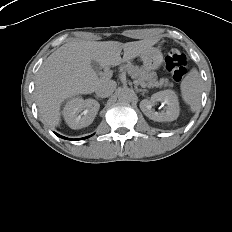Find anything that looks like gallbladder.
I'll list each match as a JSON object with an SVG mask.
<instances>
[{
	"instance_id": "bac80fb5",
	"label": "gallbladder",
	"mask_w": 232,
	"mask_h": 232,
	"mask_svg": "<svg viewBox=\"0 0 232 232\" xmlns=\"http://www.w3.org/2000/svg\"><path fill=\"white\" fill-rule=\"evenodd\" d=\"M91 66H92V68H93V70H94L95 72H99V70H100V65H99L98 62L92 60V61H91Z\"/></svg>"
}]
</instances>
